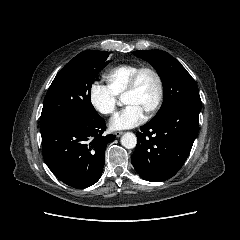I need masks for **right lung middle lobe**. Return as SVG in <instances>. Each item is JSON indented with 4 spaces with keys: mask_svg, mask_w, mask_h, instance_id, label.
Wrapping results in <instances>:
<instances>
[{
    "mask_svg": "<svg viewBox=\"0 0 240 240\" xmlns=\"http://www.w3.org/2000/svg\"><path fill=\"white\" fill-rule=\"evenodd\" d=\"M109 52L84 51L56 75L45 96L40 123L58 116L95 118L99 116L90 101L96 75L109 63Z\"/></svg>",
    "mask_w": 240,
    "mask_h": 240,
    "instance_id": "dd1d6c3e",
    "label": "right lung middle lobe"
}]
</instances>
